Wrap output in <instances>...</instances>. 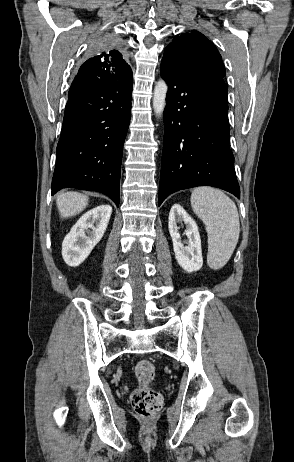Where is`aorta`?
Masks as SVG:
<instances>
[{"label": "aorta", "instance_id": "aorta-1", "mask_svg": "<svg viewBox=\"0 0 294 462\" xmlns=\"http://www.w3.org/2000/svg\"><path fill=\"white\" fill-rule=\"evenodd\" d=\"M167 91L168 86L166 82L160 79L156 83L153 93V109L158 117H160L163 114L164 108L166 106Z\"/></svg>", "mask_w": 294, "mask_h": 462}]
</instances>
